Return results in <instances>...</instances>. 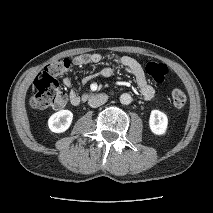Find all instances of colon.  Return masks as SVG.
I'll return each instance as SVG.
<instances>
[{"instance_id": "1", "label": "colon", "mask_w": 213, "mask_h": 213, "mask_svg": "<svg viewBox=\"0 0 213 213\" xmlns=\"http://www.w3.org/2000/svg\"><path fill=\"white\" fill-rule=\"evenodd\" d=\"M71 67L69 59H59L48 64L35 81V91L30 98L32 108L37 110H60L67 103L66 94L60 89L57 77L65 74ZM145 70L157 83L165 80L168 69L164 64L149 62ZM172 104L176 109H183L186 105V95L178 88L171 93Z\"/></svg>"}]
</instances>
